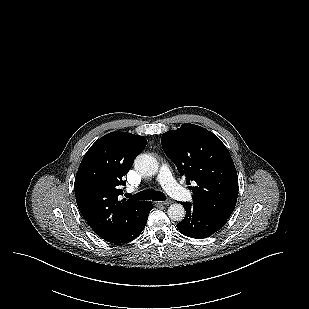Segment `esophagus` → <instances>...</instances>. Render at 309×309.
I'll list each match as a JSON object with an SVG mask.
<instances>
[{
	"mask_svg": "<svg viewBox=\"0 0 309 309\" xmlns=\"http://www.w3.org/2000/svg\"><path fill=\"white\" fill-rule=\"evenodd\" d=\"M172 203L171 200L156 202V205H170Z\"/></svg>",
	"mask_w": 309,
	"mask_h": 309,
	"instance_id": "34e87169",
	"label": "esophagus"
}]
</instances>
